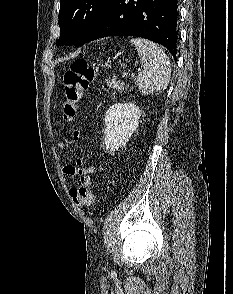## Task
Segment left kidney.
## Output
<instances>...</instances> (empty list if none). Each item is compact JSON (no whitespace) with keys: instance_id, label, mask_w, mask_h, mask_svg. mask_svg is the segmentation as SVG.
<instances>
[{"instance_id":"5707ae66","label":"left kidney","mask_w":233,"mask_h":294,"mask_svg":"<svg viewBox=\"0 0 233 294\" xmlns=\"http://www.w3.org/2000/svg\"><path fill=\"white\" fill-rule=\"evenodd\" d=\"M141 111L133 103L114 104L105 115L104 142L107 150L115 152L126 146L137 129Z\"/></svg>"}]
</instances>
